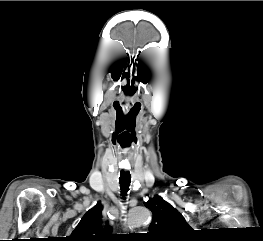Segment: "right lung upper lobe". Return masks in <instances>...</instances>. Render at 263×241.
Returning a JSON list of instances; mask_svg holds the SVG:
<instances>
[{"label":"right lung upper lobe","mask_w":263,"mask_h":241,"mask_svg":"<svg viewBox=\"0 0 263 241\" xmlns=\"http://www.w3.org/2000/svg\"><path fill=\"white\" fill-rule=\"evenodd\" d=\"M101 202H98L81 219L75 230L72 232L69 241H109L111 239V228L107 225L102 229Z\"/></svg>","instance_id":"obj_1"}]
</instances>
